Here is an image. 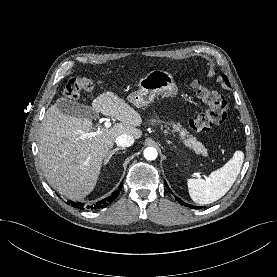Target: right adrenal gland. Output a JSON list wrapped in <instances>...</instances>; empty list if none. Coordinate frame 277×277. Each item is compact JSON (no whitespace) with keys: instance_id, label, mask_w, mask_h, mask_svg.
Listing matches in <instances>:
<instances>
[{"instance_id":"1","label":"right adrenal gland","mask_w":277,"mask_h":277,"mask_svg":"<svg viewBox=\"0 0 277 277\" xmlns=\"http://www.w3.org/2000/svg\"><path fill=\"white\" fill-rule=\"evenodd\" d=\"M123 149H124V148H115V149L109 151L108 154H107V158H106L105 162L107 163V162L110 160V158H111L117 151L123 150Z\"/></svg>"}]
</instances>
